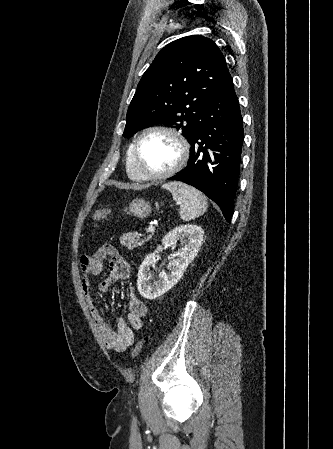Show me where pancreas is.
<instances>
[{
	"label": "pancreas",
	"mask_w": 333,
	"mask_h": 449,
	"mask_svg": "<svg viewBox=\"0 0 333 449\" xmlns=\"http://www.w3.org/2000/svg\"><path fill=\"white\" fill-rule=\"evenodd\" d=\"M143 237L144 239H141ZM152 236L145 234H140L138 232H129L127 234H123L120 237V243L121 245L127 247L128 249L132 250L138 246H141L145 241H148Z\"/></svg>",
	"instance_id": "obj_1"
}]
</instances>
